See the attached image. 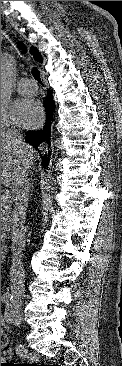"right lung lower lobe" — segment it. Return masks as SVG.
<instances>
[{
	"label": "right lung lower lobe",
	"instance_id": "98d812e1",
	"mask_svg": "<svg viewBox=\"0 0 122 366\" xmlns=\"http://www.w3.org/2000/svg\"><path fill=\"white\" fill-rule=\"evenodd\" d=\"M44 104L47 111L46 122L44 124V127L37 131H28L25 137V140L35 147L39 143H47L50 146L51 125L54 121V110H55V105L52 101V95L50 91H48L47 93V97L45 99ZM48 156H50V154ZM46 157L47 155H45V157H42L43 168H46L49 163V158Z\"/></svg>",
	"mask_w": 122,
	"mask_h": 366
}]
</instances>
